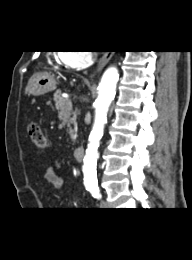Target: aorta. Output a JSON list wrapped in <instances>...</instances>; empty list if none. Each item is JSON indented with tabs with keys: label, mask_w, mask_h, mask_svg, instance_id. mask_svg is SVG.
Instances as JSON below:
<instances>
[{
	"label": "aorta",
	"mask_w": 192,
	"mask_h": 260,
	"mask_svg": "<svg viewBox=\"0 0 192 260\" xmlns=\"http://www.w3.org/2000/svg\"><path fill=\"white\" fill-rule=\"evenodd\" d=\"M119 79L116 67H109L103 74L98 86V97L95 102V119L89 136V143L83 160L84 182L86 185L97 183V160L99 158V141L103 136L104 126L107 122L109 106L116 93Z\"/></svg>",
	"instance_id": "aorta-1"
}]
</instances>
